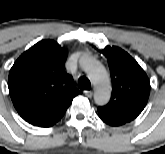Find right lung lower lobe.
I'll return each mask as SVG.
<instances>
[{"instance_id": "obj_1", "label": "right lung lower lobe", "mask_w": 165, "mask_h": 154, "mask_svg": "<svg viewBox=\"0 0 165 154\" xmlns=\"http://www.w3.org/2000/svg\"><path fill=\"white\" fill-rule=\"evenodd\" d=\"M73 99H68L59 105L44 111L43 113L26 120L28 123L39 127H50L58 122L65 114L67 108L72 103Z\"/></svg>"}]
</instances>
